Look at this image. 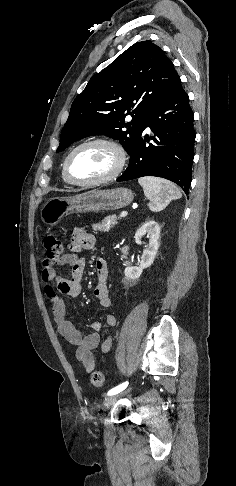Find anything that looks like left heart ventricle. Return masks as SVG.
<instances>
[{"label":"left heart ventricle","mask_w":236,"mask_h":486,"mask_svg":"<svg viewBox=\"0 0 236 486\" xmlns=\"http://www.w3.org/2000/svg\"><path fill=\"white\" fill-rule=\"evenodd\" d=\"M116 163V153L110 147L91 145L74 154L70 161V173L80 181L94 180L109 174Z\"/></svg>","instance_id":"obj_1"}]
</instances>
